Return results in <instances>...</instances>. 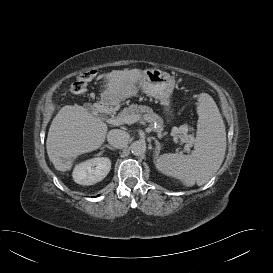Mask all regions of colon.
Listing matches in <instances>:
<instances>
[{
	"mask_svg": "<svg viewBox=\"0 0 273 273\" xmlns=\"http://www.w3.org/2000/svg\"><path fill=\"white\" fill-rule=\"evenodd\" d=\"M95 77L94 72L87 71L80 75L71 85V92L76 95H82L87 90L88 83Z\"/></svg>",
	"mask_w": 273,
	"mask_h": 273,
	"instance_id": "5ec220e1",
	"label": "colon"
}]
</instances>
